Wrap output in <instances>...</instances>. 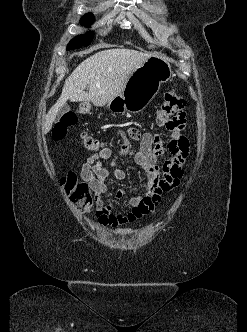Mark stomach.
<instances>
[{"label":"stomach","mask_w":247,"mask_h":332,"mask_svg":"<svg viewBox=\"0 0 247 332\" xmlns=\"http://www.w3.org/2000/svg\"><path fill=\"white\" fill-rule=\"evenodd\" d=\"M172 75L170 64L157 56L148 58L129 77L123 91L107 103L116 112L139 113L155 98Z\"/></svg>","instance_id":"0dacf381"}]
</instances>
